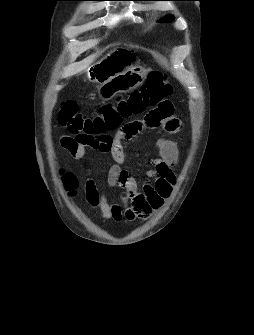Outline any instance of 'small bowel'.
I'll return each mask as SVG.
<instances>
[{
	"label": "small bowel",
	"mask_w": 254,
	"mask_h": 335,
	"mask_svg": "<svg viewBox=\"0 0 254 335\" xmlns=\"http://www.w3.org/2000/svg\"><path fill=\"white\" fill-rule=\"evenodd\" d=\"M161 103L155 104L154 108H149L142 120H126V124H120L119 131H116V137L112 138L111 148L108 152L114 163L106 174V182L110 186L123 188L124 192L120 203L110 200L100 191L90 176L91 171L87 170L89 177L83 190L85 200L91 206L99 208L100 217L104 220L146 219L158 210L171 195L176 182L174 167L179 157L177 143L163 138L156 141L158 157L152 159L151 179L143 187L138 185L124 167L125 154L121 143L123 139H130L140 131L157 130V134L178 135L179 131L182 130V124L173 117V104L169 98H162ZM60 144L76 159L82 158L88 147L73 136H62ZM63 183L65 189L73 194L77 189L78 180L72 173H66L63 175Z\"/></svg>",
	"instance_id": "small-bowel-1"
}]
</instances>
